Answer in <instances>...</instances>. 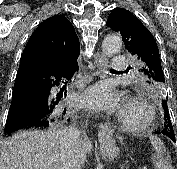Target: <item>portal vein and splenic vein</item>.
<instances>
[{"label":"portal vein and splenic vein","instance_id":"1","mask_svg":"<svg viewBox=\"0 0 177 169\" xmlns=\"http://www.w3.org/2000/svg\"><path fill=\"white\" fill-rule=\"evenodd\" d=\"M142 169H147V167H146V166H144Z\"/></svg>","mask_w":177,"mask_h":169}]
</instances>
